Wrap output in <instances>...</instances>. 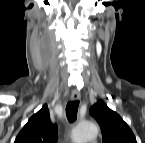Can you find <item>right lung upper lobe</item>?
Masks as SVG:
<instances>
[{
    "label": "right lung upper lobe",
    "instance_id": "cb5924a9",
    "mask_svg": "<svg viewBox=\"0 0 145 143\" xmlns=\"http://www.w3.org/2000/svg\"><path fill=\"white\" fill-rule=\"evenodd\" d=\"M56 141L57 126L51 123L47 105L28 120L15 139V143H55Z\"/></svg>",
    "mask_w": 145,
    "mask_h": 143
}]
</instances>
